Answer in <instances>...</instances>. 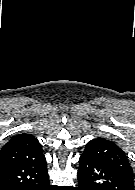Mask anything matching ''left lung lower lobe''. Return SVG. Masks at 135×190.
Wrapping results in <instances>:
<instances>
[{"mask_svg": "<svg viewBox=\"0 0 135 190\" xmlns=\"http://www.w3.org/2000/svg\"><path fill=\"white\" fill-rule=\"evenodd\" d=\"M79 164L78 190H134V184L98 159L82 155Z\"/></svg>", "mask_w": 135, "mask_h": 190, "instance_id": "obj_1", "label": "left lung lower lobe"}]
</instances>
